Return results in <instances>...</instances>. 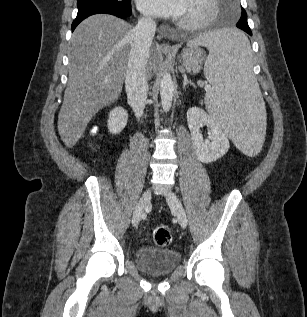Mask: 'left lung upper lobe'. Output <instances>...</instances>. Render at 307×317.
Returning a JSON list of instances; mask_svg holds the SVG:
<instances>
[{"label": "left lung upper lobe", "mask_w": 307, "mask_h": 317, "mask_svg": "<svg viewBox=\"0 0 307 317\" xmlns=\"http://www.w3.org/2000/svg\"><path fill=\"white\" fill-rule=\"evenodd\" d=\"M243 22H247V13L246 11L242 8V14H241V17L237 23V27H240L241 24H244Z\"/></svg>", "instance_id": "obj_1"}]
</instances>
